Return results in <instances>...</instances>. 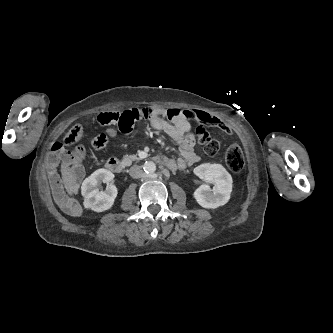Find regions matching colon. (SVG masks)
<instances>
[{"label":"colon","instance_id":"5ec220e1","mask_svg":"<svg viewBox=\"0 0 333 333\" xmlns=\"http://www.w3.org/2000/svg\"><path fill=\"white\" fill-rule=\"evenodd\" d=\"M134 117L137 120H144L147 117V110L144 107H137L134 110ZM98 122L101 125H116L121 130L129 126V113L124 112H103L98 116ZM83 134V127L80 124L74 125L69 129L61 141H57L52 146V152L56 155H62L66 152V148L77 144ZM195 134L198 142L203 146L205 154L209 156L215 155L220 148L219 142L212 138L207 129L199 125ZM108 143L106 135L101 134L95 137L91 146L95 150L104 148ZM225 162L227 167L235 173L243 170L245 166L244 154L241 147L237 144L230 145L225 153Z\"/></svg>","mask_w":333,"mask_h":333}]
</instances>
